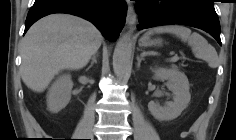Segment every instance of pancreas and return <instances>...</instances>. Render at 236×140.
<instances>
[{
    "mask_svg": "<svg viewBox=\"0 0 236 140\" xmlns=\"http://www.w3.org/2000/svg\"><path fill=\"white\" fill-rule=\"evenodd\" d=\"M172 67H173V68H177V66H176V65H172Z\"/></svg>",
    "mask_w": 236,
    "mask_h": 140,
    "instance_id": "cf45deb5",
    "label": "pancreas"
}]
</instances>
